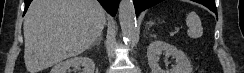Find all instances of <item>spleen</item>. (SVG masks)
<instances>
[{
	"label": "spleen",
	"instance_id": "obj_1",
	"mask_svg": "<svg viewBox=\"0 0 244 73\" xmlns=\"http://www.w3.org/2000/svg\"><path fill=\"white\" fill-rule=\"evenodd\" d=\"M188 26L187 34L190 38L196 39L203 35V28L199 16L195 12H189L186 16Z\"/></svg>",
	"mask_w": 244,
	"mask_h": 73
}]
</instances>
